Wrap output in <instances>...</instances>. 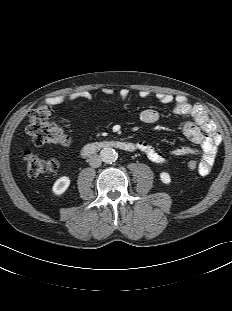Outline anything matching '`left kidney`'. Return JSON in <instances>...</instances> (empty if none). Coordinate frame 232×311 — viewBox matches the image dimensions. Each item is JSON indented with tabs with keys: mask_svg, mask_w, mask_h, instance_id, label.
<instances>
[{
	"mask_svg": "<svg viewBox=\"0 0 232 311\" xmlns=\"http://www.w3.org/2000/svg\"><path fill=\"white\" fill-rule=\"evenodd\" d=\"M160 179L165 184H169L171 182L170 175L167 172L160 173Z\"/></svg>",
	"mask_w": 232,
	"mask_h": 311,
	"instance_id": "obj_1",
	"label": "left kidney"
}]
</instances>
